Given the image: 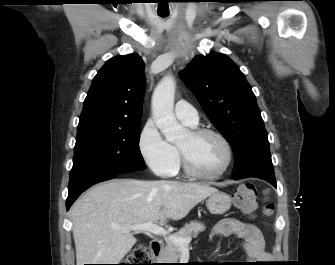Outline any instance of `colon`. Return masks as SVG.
<instances>
[{
	"label": "colon",
	"instance_id": "colon-1",
	"mask_svg": "<svg viewBox=\"0 0 335 265\" xmlns=\"http://www.w3.org/2000/svg\"><path fill=\"white\" fill-rule=\"evenodd\" d=\"M257 190L253 183H244L239 186L234 195V204L243 213L252 214L257 208ZM272 212L271 205L263 208V213L268 216ZM151 252L145 245H138L132 249L122 265H150Z\"/></svg>",
	"mask_w": 335,
	"mask_h": 265
}]
</instances>
